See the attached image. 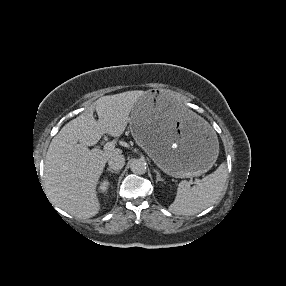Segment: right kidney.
Returning <instances> with one entry per match:
<instances>
[{"mask_svg":"<svg viewBox=\"0 0 286 286\" xmlns=\"http://www.w3.org/2000/svg\"><path fill=\"white\" fill-rule=\"evenodd\" d=\"M109 188V182L108 181H103L100 185V190L101 192L107 191Z\"/></svg>","mask_w":286,"mask_h":286,"instance_id":"1","label":"right kidney"}]
</instances>
